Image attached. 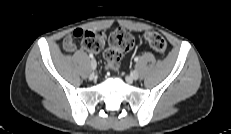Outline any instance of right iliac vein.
<instances>
[{
    "label": "right iliac vein",
    "instance_id": "1",
    "mask_svg": "<svg viewBox=\"0 0 231 134\" xmlns=\"http://www.w3.org/2000/svg\"><path fill=\"white\" fill-rule=\"evenodd\" d=\"M90 65H91L92 70L96 69L97 64H96V61L94 59L91 60Z\"/></svg>",
    "mask_w": 231,
    "mask_h": 134
}]
</instances>
